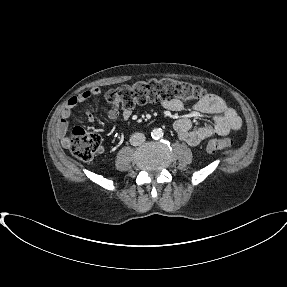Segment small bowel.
I'll return each instance as SVG.
<instances>
[{
    "mask_svg": "<svg viewBox=\"0 0 287 287\" xmlns=\"http://www.w3.org/2000/svg\"><path fill=\"white\" fill-rule=\"evenodd\" d=\"M100 93V89L94 87L69 99L62 110L61 118L56 126L57 136L64 146L69 145V138L67 136L68 118L73 108L81 102L99 96ZM163 106L170 111H181L185 108L184 103L177 99L165 101L163 102ZM193 109L200 113L210 114L212 121L196 129H192V120L189 118H181L174 123V129L178 137L191 146H197L212 136L226 135L230 131L239 130L242 126L241 118L236 111L217 95H207L204 100L194 105ZM119 115H121L123 119H129L132 115V110L122 107L121 110L111 108L108 111V118L110 120H116ZM86 118L89 122H93L95 116L92 112L88 111L86 112Z\"/></svg>",
    "mask_w": 287,
    "mask_h": 287,
    "instance_id": "1",
    "label": "small bowel"
}]
</instances>
